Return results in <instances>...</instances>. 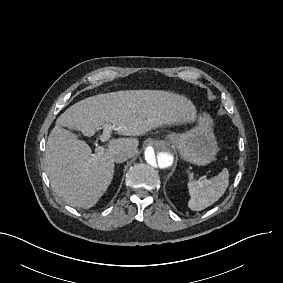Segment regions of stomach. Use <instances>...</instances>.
Listing matches in <instances>:
<instances>
[{
  "mask_svg": "<svg viewBox=\"0 0 283 283\" xmlns=\"http://www.w3.org/2000/svg\"><path fill=\"white\" fill-rule=\"evenodd\" d=\"M212 126L210 115L203 113L195 127L183 133L168 134L166 143L176 149L185 161L207 165L214 161L219 150Z\"/></svg>",
  "mask_w": 283,
  "mask_h": 283,
  "instance_id": "1",
  "label": "stomach"
}]
</instances>
